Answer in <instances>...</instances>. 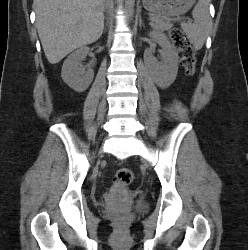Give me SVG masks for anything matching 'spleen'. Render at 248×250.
I'll return each mask as SVG.
<instances>
[{"mask_svg": "<svg viewBox=\"0 0 248 250\" xmlns=\"http://www.w3.org/2000/svg\"><path fill=\"white\" fill-rule=\"evenodd\" d=\"M194 23H181V28L195 49H201L211 28L209 0H198L192 11Z\"/></svg>", "mask_w": 248, "mask_h": 250, "instance_id": "obj_1", "label": "spleen"}]
</instances>
